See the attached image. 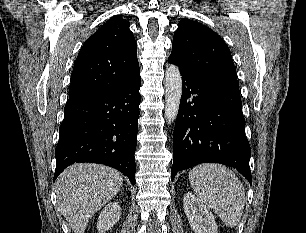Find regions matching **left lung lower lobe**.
<instances>
[{"label": "left lung lower lobe", "instance_id": "1", "mask_svg": "<svg viewBox=\"0 0 306 233\" xmlns=\"http://www.w3.org/2000/svg\"><path fill=\"white\" fill-rule=\"evenodd\" d=\"M169 63L176 64L170 59ZM180 73L183 89L173 135L171 179L178 171L215 162L236 168L251 184V149L239 87L181 69Z\"/></svg>", "mask_w": 306, "mask_h": 233}]
</instances>
